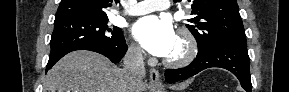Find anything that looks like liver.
<instances>
[{
    "label": "liver",
    "instance_id": "1",
    "mask_svg": "<svg viewBox=\"0 0 289 92\" xmlns=\"http://www.w3.org/2000/svg\"><path fill=\"white\" fill-rule=\"evenodd\" d=\"M147 88L143 80H132L108 58L85 50L65 55L44 81V92H146Z\"/></svg>",
    "mask_w": 289,
    "mask_h": 92
}]
</instances>
